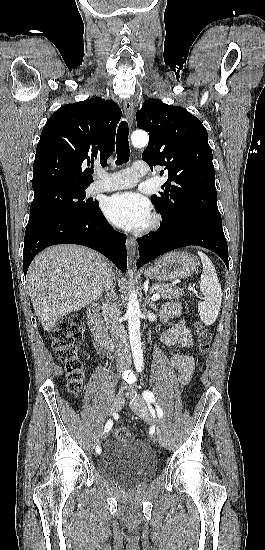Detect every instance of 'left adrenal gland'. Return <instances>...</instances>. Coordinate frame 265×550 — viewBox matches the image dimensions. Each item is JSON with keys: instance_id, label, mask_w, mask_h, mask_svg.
Instances as JSON below:
<instances>
[{"instance_id": "obj_1", "label": "left adrenal gland", "mask_w": 265, "mask_h": 550, "mask_svg": "<svg viewBox=\"0 0 265 550\" xmlns=\"http://www.w3.org/2000/svg\"><path fill=\"white\" fill-rule=\"evenodd\" d=\"M146 304H149V306L153 310L157 311V305L155 303L150 302V296L149 295H146Z\"/></svg>"}]
</instances>
